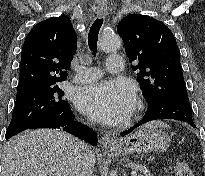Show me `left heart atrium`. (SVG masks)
Instances as JSON below:
<instances>
[{
  "mask_svg": "<svg viewBox=\"0 0 205 176\" xmlns=\"http://www.w3.org/2000/svg\"><path fill=\"white\" fill-rule=\"evenodd\" d=\"M135 104V90L125 80L98 82L81 88L76 95V105L82 113L106 124L125 120Z\"/></svg>",
  "mask_w": 205,
  "mask_h": 176,
  "instance_id": "1",
  "label": "left heart atrium"
}]
</instances>
